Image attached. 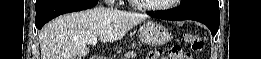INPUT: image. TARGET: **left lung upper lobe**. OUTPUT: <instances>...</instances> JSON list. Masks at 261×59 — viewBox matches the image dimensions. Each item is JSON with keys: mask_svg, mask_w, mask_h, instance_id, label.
Wrapping results in <instances>:
<instances>
[{"mask_svg": "<svg viewBox=\"0 0 261 59\" xmlns=\"http://www.w3.org/2000/svg\"><path fill=\"white\" fill-rule=\"evenodd\" d=\"M201 1H204V2H217L218 3V0H182L181 5H186V4H189V3L201 2Z\"/></svg>", "mask_w": 261, "mask_h": 59, "instance_id": "left-lung-upper-lobe-1", "label": "left lung upper lobe"}]
</instances>
